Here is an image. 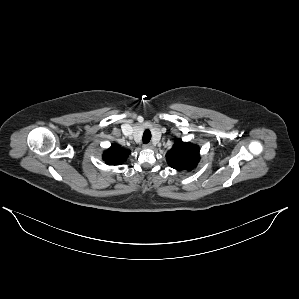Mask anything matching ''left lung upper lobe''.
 <instances>
[{"label": "left lung upper lobe", "instance_id": "1", "mask_svg": "<svg viewBox=\"0 0 299 299\" xmlns=\"http://www.w3.org/2000/svg\"><path fill=\"white\" fill-rule=\"evenodd\" d=\"M199 151L198 146L177 139L173 148L166 154L167 163L177 170H191L200 160Z\"/></svg>", "mask_w": 299, "mask_h": 299}]
</instances>
